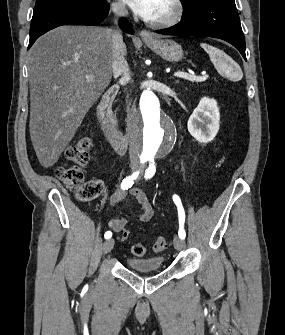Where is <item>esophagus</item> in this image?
<instances>
[{"instance_id":"obj_1","label":"esophagus","mask_w":285,"mask_h":335,"mask_svg":"<svg viewBox=\"0 0 285 335\" xmlns=\"http://www.w3.org/2000/svg\"><path fill=\"white\" fill-rule=\"evenodd\" d=\"M140 37L142 39H152V35H151V33L148 30H142L140 32Z\"/></svg>"}]
</instances>
